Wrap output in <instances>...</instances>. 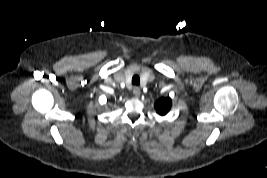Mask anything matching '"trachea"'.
Here are the masks:
<instances>
[{
  "label": "trachea",
  "mask_w": 267,
  "mask_h": 178,
  "mask_svg": "<svg viewBox=\"0 0 267 178\" xmlns=\"http://www.w3.org/2000/svg\"><path fill=\"white\" fill-rule=\"evenodd\" d=\"M132 84L136 85V86H138L140 84V78H139V76L137 74L133 76Z\"/></svg>",
  "instance_id": "3493384b"
}]
</instances>
